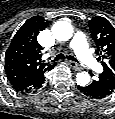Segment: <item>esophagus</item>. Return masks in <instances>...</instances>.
<instances>
[{
  "instance_id": "1",
  "label": "esophagus",
  "mask_w": 115,
  "mask_h": 119,
  "mask_svg": "<svg viewBox=\"0 0 115 119\" xmlns=\"http://www.w3.org/2000/svg\"><path fill=\"white\" fill-rule=\"evenodd\" d=\"M69 64L75 70H81L82 69V67L78 63H76L74 61H69Z\"/></svg>"
}]
</instances>
